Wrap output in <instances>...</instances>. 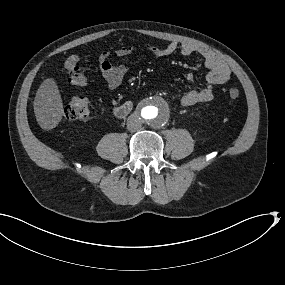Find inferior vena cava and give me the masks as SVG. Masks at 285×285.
I'll use <instances>...</instances> for the list:
<instances>
[{
  "label": "inferior vena cava",
  "instance_id": "inferior-vena-cava-1",
  "mask_svg": "<svg viewBox=\"0 0 285 285\" xmlns=\"http://www.w3.org/2000/svg\"><path fill=\"white\" fill-rule=\"evenodd\" d=\"M142 121L136 116L131 115L127 120V129L131 132H135L141 129Z\"/></svg>",
  "mask_w": 285,
  "mask_h": 285
}]
</instances>
